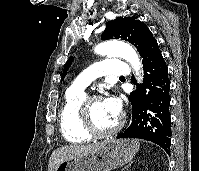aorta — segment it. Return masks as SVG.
Segmentation results:
<instances>
[{
	"instance_id": "obj_1",
	"label": "aorta",
	"mask_w": 199,
	"mask_h": 171,
	"mask_svg": "<svg viewBox=\"0 0 199 171\" xmlns=\"http://www.w3.org/2000/svg\"><path fill=\"white\" fill-rule=\"evenodd\" d=\"M94 50L100 55L117 56L125 59L140 79L141 62L138 54L130 45L122 41L110 40L99 44Z\"/></svg>"
}]
</instances>
